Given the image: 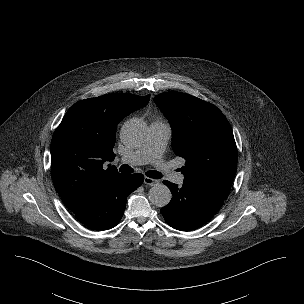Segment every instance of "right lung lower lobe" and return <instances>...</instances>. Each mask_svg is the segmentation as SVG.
Returning <instances> with one entry per match:
<instances>
[{
	"label": "right lung lower lobe",
	"instance_id": "1",
	"mask_svg": "<svg viewBox=\"0 0 304 304\" xmlns=\"http://www.w3.org/2000/svg\"><path fill=\"white\" fill-rule=\"evenodd\" d=\"M144 181L137 174H114L103 182L96 194L75 217L86 226L95 230H107L116 226L124 214L127 196Z\"/></svg>",
	"mask_w": 304,
	"mask_h": 304
}]
</instances>
